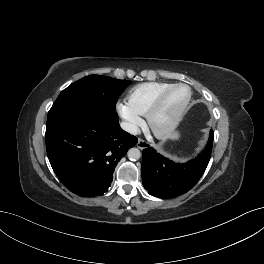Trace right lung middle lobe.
<instances>
[{
	"mask_svg": "<svg viewBox=\"0 0 264 264\" xmlns=\"http://www.w3.org/2000/svg\"><path fill=\"white\" fill-rule=\"evenodd\" d=\"M130 84L106 76L89 75L64 89L51 107L47 126L72 109L83 105L102 106L115 110L119 95Z\"/></svg>",
	"mask_w": 264,
	"mask_h": 264,
	"instance_id": "dd1d6c3e",
	"label": "right lung middle lobe"
}]
</instances>
